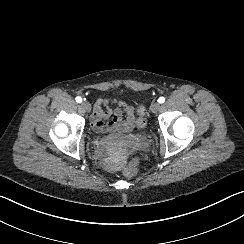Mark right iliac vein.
I'll use <instances>...</instances> for the list:
<instances>
[{"mask_svg": "<svg viewBox=\"0 0 244 244\" xmlns=\"http://www.w3.org/2000/svg\"><path fill=\"white\" fill-rule=\"evenodd\" d=\"M80 107H81L82 110H85L87 112H90L91 111V105L88 102H85V101L82 102L80 104Z\"/></svg>", "mask_w": 244, "mask_h": 244, "instance_id": "1", "label": "right iliac vein"}]
</instances>
